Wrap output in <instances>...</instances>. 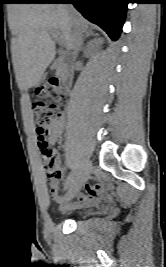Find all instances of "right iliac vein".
I'll return each instance as SVG.
<instances>
[{
	"label": "right iliac vein",
	"instance_id": "obj_1",
	"mask_svg": "<svg viewBox=\"0 0 166 267\" xmlns=\"http://www.w3.org/2000/svg\"><path fill=\"white\" fill-rule=\"evenodd\" d=\"M90 173H91V163L88 160H86L84 162L81 171L77 174L76 179L74 180L68 191L67 195L68 200L73 199L78 194L84 183L87 181Z\"/></svg>",
	"mask_w": 166,
	"mask_h": 267
}]
</instances>
